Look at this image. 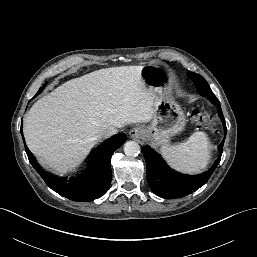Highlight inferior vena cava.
<instances>
[{
	"instance_id": "602c4592",
	"label": "inferior vena cava",
	"mask_w": 257,
	"mask_h": 257,
	"mask_svg": "<svg viewBox=\"0 0 257 257\" xmlns=\"http://www.w3.org/2000/svg\"><path fill=\"white\" fill-rule=\"evenodd\" d=\"M116 133H117V129L114 128V127H111V128H109L108 130H106L102 133V137L107 138V137H110V136H112Z\"/></svg>"
}]
</instances>
